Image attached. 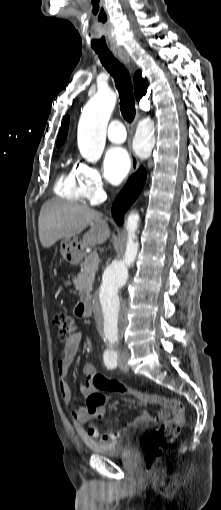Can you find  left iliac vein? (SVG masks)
Returning <instances> with one entry per match:
<instances>
[{
	"label": "left iliac vein",
	"instance_id": "obj_1",
	"mask_svg": "<svg viewBox=\"0 0 221 510\" xmlns=\"http://www.w3.org/2000/svg\"><path fill=\"white\" fill-rule=\"evenodd\" d=\"M127 354L123 353L119 357V368L123 371H128V365H127Z\"/></svg>",
	"mask_w": 221,
	"mask_h": 510
}]
</instances>
